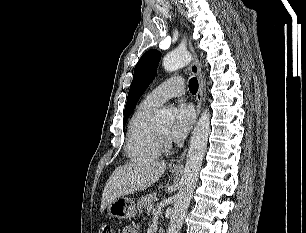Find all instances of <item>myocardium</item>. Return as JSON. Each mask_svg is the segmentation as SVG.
<instances>
[{"label":"myocardium","instance_id":"f54148a6","mask_svg":"<svg viewBox=\"0 0 306 233\" xmlns=\"http://www.w3.org/2000/svg\"><path fill=\"white\" fill-rule=\"evenodd\" d=\"M155 135L161 150H169L171 148L169 139L162 134L157 127H155Z\"/></svg>","mask_w":306,"mask_h":233}]
</instances>
